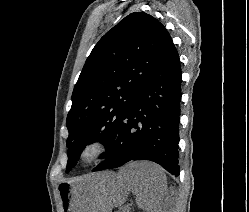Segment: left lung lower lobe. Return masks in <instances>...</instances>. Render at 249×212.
Listing matches in <instances>:
<instances>
[{
	"label": "left lung lower lobe",
	"instance_id": "1",
	"mask_svg": "<svg viewBox=\"0 0 249 212\" xmlns=\"http://www.w3.org/2000/svg\"><path fill=\"white\" fill-rule=\"evenodd\" d=\"M180 100L181 68L172 44L133 97L106 159L92 171L116 168L131 160H149L177 177Z\"/></svg>",
	"mask_w": 249,
	"mask_h": 212
}]
</instances>
